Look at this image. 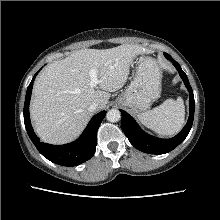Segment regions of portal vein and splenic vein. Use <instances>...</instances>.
Instances as JSON below:
<instances>
[{"label":"portal vein and splenic vein","mask_w":220,"mask_h":220,"mask_svg":"<svg viewBox=\"0 0 220 220\" xmlns=\"http://www.w3.org/2000/svg\"><path fill=\"white\" fill-rule=\"evenodd\" d=\"M97 72L98 70L97 69H91L89 71V76H90V86L91 87H96L97 84L99 83V80H98V76H97Z\"/></svg>","instance_id":"obj_1"}]
</instances>
